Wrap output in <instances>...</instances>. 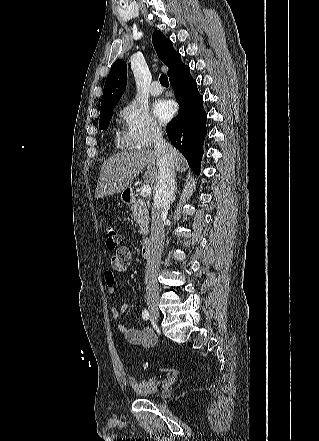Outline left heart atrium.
Returning <instances> with one entry per match:
<instances>
[{
	"label": "left heart atrium",
	"mask_w": 319,
	"mask_h": 441,
	"mask_svg": "<svg viewBox=\"0 0 319 441\" xmlns=\"http://www.w3.org/2000/svg\"><path fill=\"white\" fill-rule=\"evenodd\" d=\"M175 111V107L171 101L158 100L153 106L154 115L161 121H168Z\"/></svg>",
	"instance_id": "obj_1"
}]
</instances>
